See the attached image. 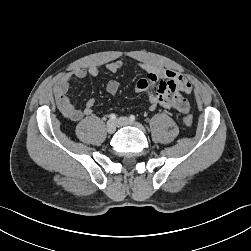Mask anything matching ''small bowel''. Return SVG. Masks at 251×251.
<instances>
[{
    "instance_id": "obj_1",
    "label": "small bowel",
    "mask_w": 251,
    "mask_h": 251,
    "mask_svg": "<svg viewBox=\"0 0 251 251\" xmlns=\"http://www.w3.org/2000/svg\"><path fill=\"white\" fill-rule=\"evenodd\" d=\"M124 66L123 61L117 60L108 63L106 68L108 71L115 73ZM139 67L145 72V76L138 80L135 90L138 93L147 95L150 110L163 107L182 114L189 111V103L183 94H190L192 85L186 77L175 70L166 69L151 63H140ZM88 75L97 77L99 75L98 67L78 68L72 73L63 75L54 87L57 107L60 113L70 121H79L93 112L95 105L93 98H89L84 108L79 109L72 103L70 94V81L72 78L83 79ZM118 90V81H108L106 91L109 94L114 95Z\"/></svg>"
}]
</instances>
